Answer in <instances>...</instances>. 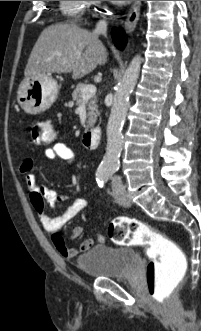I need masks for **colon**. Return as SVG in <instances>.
Listing matches in <instances>:
<instances>
[{
	"instance_id": "1",
	"label": "colon",
	"mask_w": 201,
	"mask_h": 331,
	"mask_svg": "<svg viewBox=\"0 0 201 331\" xmlns=\"http://www.w3.org/2000/svg\"><path fill=\"white\" fill-rule=\"evenodd\" d=\"M31 139L38 146L51 144L55 140L51 123L34 121ZM108 236L118 245L147 246L150 258L146 265L147 292L157 305L167 306L186 271V259L181 249L159 231L128 217L115 218L109 225Z\"/></svg>"
}]
</instances>
